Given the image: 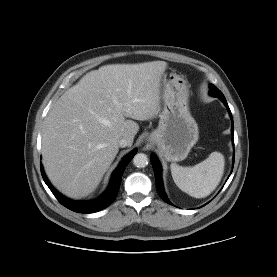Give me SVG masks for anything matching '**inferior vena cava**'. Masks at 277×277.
Masks as SVG:
<instances>
[{
	"mask_svg": "<svg viewBox=\"0 0 277 277\" xmlns=\"http://www.w3.org/2000/svg\"><path fill=\"white\" fill-rule=\"evenodd\" d=\"M118 145L119 147H126L130 145V141L126 138H122L120 140H118Z\"/></svg>",
	"mask_w": 277,
	"mask_h": 277,
	"instance_id": "obj_1",
	"label": "inferior vena cava"
}]
</instances>
